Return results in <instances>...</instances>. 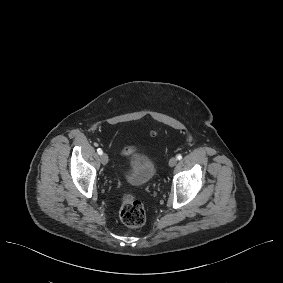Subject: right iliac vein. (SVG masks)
Here are the masks:
<instances>
[{
  "label": "right iliac vein",
  "mask_w": 283,
  "mask_h": 283,
  "mask_svg": "<svg viewBox=\"0 0 283 283\" xmlns=\"http://www.w3.org/2000/svg\"><path fill=\"white\" fill-rule=\"evenodd\" d=\"M100 160H101V163H102L103 165H106V164L108 163V156H107V154L103 153V154L101 155Z\"/></svg>",
  "instance_id": "right-iliac-vein-1"
}]
</instances>
